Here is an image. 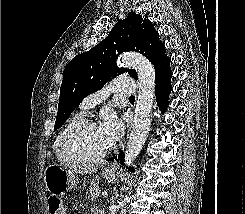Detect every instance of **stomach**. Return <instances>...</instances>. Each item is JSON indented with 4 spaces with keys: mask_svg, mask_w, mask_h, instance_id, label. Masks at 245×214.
I'll list each match as a JSON object with an SVG mask.
<instances>
[{
    "mask_svg": "<svg viewBox=\"0 0 245 214\" xmlns=\"http://www.w3.org/2000/svg\"><path fill=\"white\" fill-rule=\"evenodd\" d=\"M103 178L109 183H115L120 177V172L112 169H105ZM44 182L46 189L52 195H62L71 190L77 183L74 173L58 165H49L44 172Z\"/></svg>",
    "mask_w": 245,
    "mask_h": 214,
    "instance_id": "stomach-1",
    "label": "stomach"
}]
</instances>
